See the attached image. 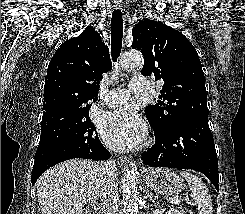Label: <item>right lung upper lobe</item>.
I'll list each match as a JSON object with an SVG mask.
<instances>
[{
    "instance_id": "cb5924a9",
    "label": "right lung upper lobe",
    "mask_w": 245,
    "mask_h": 214,
    "mask_svg": "<svg viewBox=\"0 0 245 214\" xmlns=\"http://www.w3.org/2000/svg\"><path fill=\"white\" fill-rule=\"evenodd\" d=\"M111 68L109 48L92 26L64 42L48 66L41 130L87 114L90 101L98 99L102 74Z\"/></svg>"
}]
</instances>
